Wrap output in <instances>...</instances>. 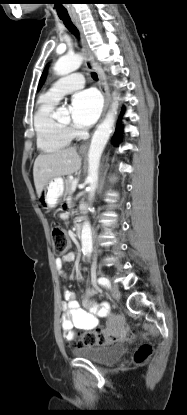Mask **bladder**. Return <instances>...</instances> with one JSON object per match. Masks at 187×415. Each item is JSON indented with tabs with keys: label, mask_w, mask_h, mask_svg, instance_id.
<instances>
[{
	"label": "bladder",
	"mask_w": 187,
	"mask_h": 415,
	"mask_svg": "<svg viewBox=\"0 0 187 415\" xmlns=\"http://www.w3.org/2000/svg\"><path fill=\"white\" fill-rule=\"evenodd\" d=\"M126 351V343L119 342L106 347L74 348L72 354L90 360L99 365H109L119 360Z\"/></svg>",
	"instance_id": "obj_1"
}]
</instances>
